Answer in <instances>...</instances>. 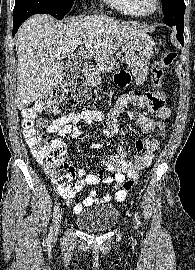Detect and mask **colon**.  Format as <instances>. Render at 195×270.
Returning <instances> with one entry per match:
<instances>
[{"instance_id": "obj_1", "label": "colon", "mask_w": 195, "mask_h": 270, "mask_svg": "<svg viewBox=\"0 0 195 270\" xmlns=\"http://www.w3.org/2000/svg\"><path fill=\"white\" fill-rule=\"evenodd\" d=\"M175 59L176 53L168 51L153 64L151 84L154 90L145 95L147 106L160 107L165 104L166 95L162 90L164 69L172 65ZM86 95L85 80L82 77H74L45 94L33 106L22 112V127L26 142L34 158L59 192H67L70 188L71 178L66 172L67 166L64 162L66 147L62 141L52 139L41 132L47 127L48 122L40 118L39 114L45 111L59 113L67 100ZM137 181V177L129 178L124 181L122 190L125 192L131 190Z\"/></svg>"}]
</instances>
